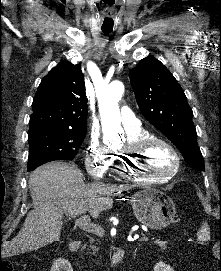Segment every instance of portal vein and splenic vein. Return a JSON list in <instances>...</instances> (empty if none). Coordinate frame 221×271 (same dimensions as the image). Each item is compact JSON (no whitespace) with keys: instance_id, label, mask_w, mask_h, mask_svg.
I'll return each mask as SVG.
<instances>
[{"instance_id":"obj_1","label":"portal vein and splenic vein","mask_w":221,"mask_h":271,"mask_svg":"<svg viewBox=\"0 0 221 271\" xmlns=\"http://www.w3.org/2000/svg\"><path fill=\"white\" fill-rule=\"evenodd\" d=\"M71 217H77V215H71ZM75 225H78V227H81V229H84V231H90L91 234H99L98 236L101 238L102 235V226L93 225V223H90V219L86 217V215H81V217H78V219H74ZM149 235H141V238L139 237L137 240L140 242L141 240H149Z\"/></svg>"}]
</instances>
